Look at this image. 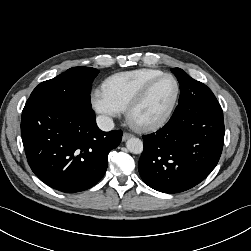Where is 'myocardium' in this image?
<instances>
[{"label":"myocardium","instance_id":"obj_1","mask_svg":"<svg viewBox=\"0 0 251 251\" xmlns=\"http://www.w3.org/2000/svg\"><path fill=\"white\" fill-rule=\"evenodd\" d=\"M163 78H171L175 83V94L167 110L157 119L151 121H139L135 118L136 110L143 104L153 86ZM180 96V83L171 73H162L148 81L138 94L133 98L126 109L128 122L137 130L154 131L164 126L171 118Z\"/></svg>","mask_w":251,"mask_h":251}]
</instances>
